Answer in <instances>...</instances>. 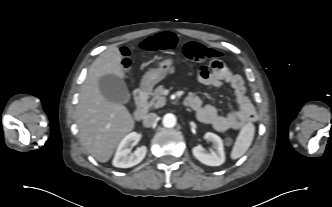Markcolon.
Instances as JSON below:
<instances>
[{
    "label": "colon",
    "mask_w": 332,
    "mask_h": 207,
    "mask_svg": "<svg viewBox=\"0 0 332 207\" xmlns=\"http://www.w3.org/2000/svg\"><path fill=\"white\" fill-rule=\"evenodd\" d=\"M176 41L174 34L165 32L161 33L155 37L147 39L143 44L142 48L146 49H161L168 50L171 49ZM184 53L186 57L192 61L203 62V61H221L224 54L218 50L208 48L198 42L190 41L185 45ZM225 143L230 145L232 143L231 138H226Z\"/></svg>",
    "instance_id": "obj_1"
}]
</instances>
